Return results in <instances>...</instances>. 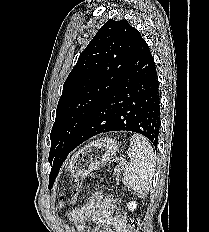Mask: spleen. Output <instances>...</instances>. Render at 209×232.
Listing matches in <instances>:
<instances>
[{"label":"spleen","instance_id":"obj_1","mask_svg":"<svg viewBox=\"0 0 209 232\" xmlns=\"http://www.w3.org/2000/svg\"><path fill=\"white\" fill-rule=\"evenodd\" d=\"M127 153L131 161L125 166L123 183L137 191L140 197H144L152 185L154 176L153 148L145 137L135 134L131 137Z\"/></svg>","mask_w":209,"mask_h":232}]
</instances>
